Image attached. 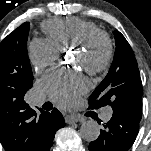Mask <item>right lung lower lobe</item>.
<instances>
[{
	"instance_id": "1",
	"label": "right lung lower lobe",
	"mask_w": 151,
	"mask_h": 151,
	"mask_svg": "<svg viewBox=\"0 0 151 151\" xmlns=\"http://www.w3.org/2000/svg\"><path fill=\"white\" fill-rule=\"evenodd\" d=\"M44 128L45 136L40 151H49L53 144V138L58 129L65 126L64 118L62 114L57 110L53 109L51 113L44 111Z\"/></svg>"
}]
</instances>
